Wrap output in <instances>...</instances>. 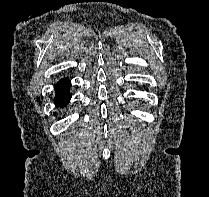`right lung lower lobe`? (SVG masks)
I'll return each instance as SVG.
<instances>
[{
  "mask_svg": "<svg viewBox=\"0 0 209 197\" xmlns=\"http://www.w3.org/2000/svg\"><path fill=\"white\" fill-rule=\"evenodd\" d=\"M70 86L71 83L66 78L61 79L57 83L55 87L56 96L54 99V102L57 106L63 107L65 106L66 103H69L71 99V94H69Z\"/></svg>",
  "mask_w": 209,
  "mask_h": 197,
  "instance_id": "98d812e1",
  "label": "right lung lower lobe"
}]
</instances>
